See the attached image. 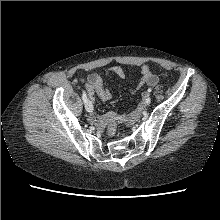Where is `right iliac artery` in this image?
Here are the masks:
<instances>
[{"instance_id":"1","label":"right iliac artery","mask_w":220,"mask_h":220,"mask_svg":"<svg viewBox=\"0 0 220 220\" xmlns=\"http://www.w3.org/2000/svg\"><path fill=\"white\" fill-rule=\"evenodd\" d=\"M82 99L84 103H87L88 99L85 91L82 92Z\"/></svg>"}]
</instances>
